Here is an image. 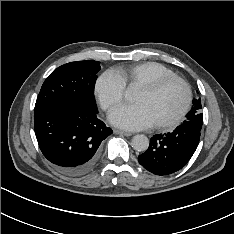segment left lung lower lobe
I'll return each instance as SVG.
<instances>
[{
  "label": "left lung lower lobe",
  "mask_w": 234,
  "mask_h": 234,
  "mask_svg": "<svg viewBox=\"0 0 234 234\" xmlns=\"http://www.w3.org/2000/svg\"><path fill=\"white\" fill-rule=\"evenodd\" d=\"M200 134L201 130L181 124L173 132L154 135L138 161L153 174H172L190 160L199 144Z\"/></svg>",
  "instance_id": "0a47b994"
}]
</instances>
